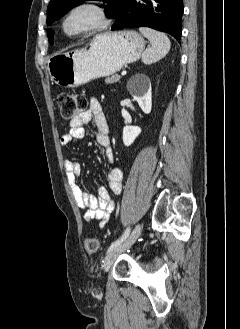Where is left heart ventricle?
<instances>
[{"label": "left heart ventricle", "instance_id": "1", "mask_svg": "<svg viewBox=\"0 0 240 329\" xmlns=\"http://www.w3.org/2000/svg\"><path fill=\"white\" fill-rule=\"evenodd\" d=\"M96 21V14L91 9H82L77 11L72 18L68 21L67 27L69 30H76L88 25H91Z\"/></svg>", "mask_w": 240, "mask_h": 329}]
</instances>
